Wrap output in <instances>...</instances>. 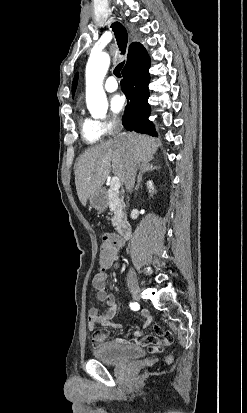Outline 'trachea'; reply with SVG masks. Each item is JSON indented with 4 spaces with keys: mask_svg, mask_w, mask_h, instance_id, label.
Here are the masks:
<instances>
[{
    "mask_svg": "<svg viewBox=\"0 0 247 413\" xmlns=\"http://www.w3.org/2000/svg\"><path fill=\"white\" fill-rule=\"evenodd\" d=\"M112 28H113V31L115 33V37H116L118 46H119L120 50L124 52L125 49H126L127 41H128V35H127L126 29L119 22L113 23ZM123 66H124V62H121V63H119V65H117L115 67V70H114L113 73L117 78L121 77L120 72H121Z\"/></svg>",
    "mask_w": 247,
    "mask_h": 413,
    "instance_id": "obj_1",
    "label": "trachea"
}]
</instances>
